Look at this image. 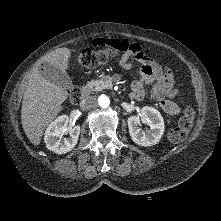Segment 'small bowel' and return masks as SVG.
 I'll return each instance as SVG.
<instances>
[{"instance_id": "small-bowel-1", "label": "small bowel", "mask_w": 221, "mask_h": 221, "mask_svg": "<svg viewBox=\"0 0 221 221\" xmlns=\"http://www.w3.org/2000/svg\"><path fill=\"white\" fill-rule=\"evenodd\" d=\"M95 47L112 46L122 52L119 65L128 70L134 62L140 64L139 79L131 84L133 99L142 100L145 96V85L151 86V97L157 101L161 109L169 115H177L180 106L170 100L178 93L175 87L173 74L169 70H163L137 43H131L124 39H96Z\"/></svg>"}]
</instances>
